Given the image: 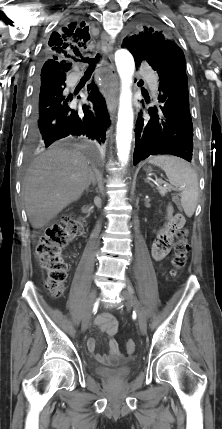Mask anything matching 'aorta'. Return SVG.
Here are the masks:
<instances>
[{"label":"aorta","mask_w":222,"mask_h":429,"mask_svg":"<svg viewBox=\"0 0 222 429\" xmlns=\"http://www.w3.org/2000/svg\"><path fill=\"white\" fill-rule=\"evenodd\" d=\"M115 63L121 79V92L118 110L116 133L117 155L122 166L129 160L133 130L132 91L135 63L127 50H118L115 53Z\"/></svg>","instance_id":"762f6f07"}]
</instances>
